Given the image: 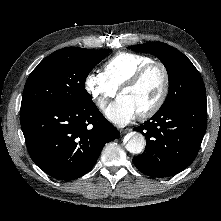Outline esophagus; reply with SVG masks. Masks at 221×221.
Listing matches in <instances>:
<instances>
[{"label": "esophagus", "mask_w": 221, "mask_h": 221, "mask_svg": "<svg viewBox=\"0 0 221 221\" xmlns=\"http://www.w3.org/2000/svg\"><path fill=\"white\" fill-rule=\"evenodd\" d=\"M130 131H131L130 128L120 129V133H121V134H126V133H128V132H130Z\"/></svg>", "instance_id": "1"}]
</instances>
